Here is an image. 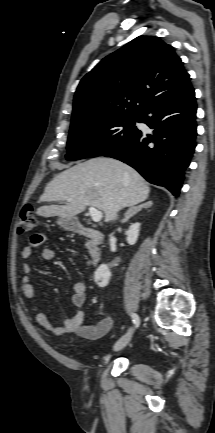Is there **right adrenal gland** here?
I'll return each mask as SVG.
<instances>
[{"label":"right adrenal gland","mask_w":215,"mask_h":433,"mask_svg":"<svg viewBox=\"0 0 215 433\" xmlns=\"http://www.w3.org/2000/svg\"><path fill=\"white\" fill-rule=\"evenodd\" d=\"M151 206H152V202L148 201L139 206L129 208V210L125 213V218L121 220V223H126L131 217H133L135 214L141 211L142 208H148Z\"/></svg>","instance_id":"obj_1"}]
</instances>
